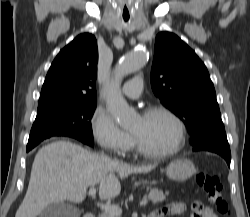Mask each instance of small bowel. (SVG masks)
Returning a JSON list of instances; mask_svg holds the SVG:
<instances>
[{"label":"small bowel","instance_id":"1","mask_svg":"<svg viewBox=\"0 0 250 217\" xmlns=\"http://www.w3.org/2000/svg\"><path fill=\"white\" fill-rule=\"evenodd\" d=\"M186 211V205L183 202H172L162 209L158 210L159 217L181 215ZM192 211L198 212V217H218L209 208L205 207L202 202H195L192 205Z\"/></svg>","mask_w":250,"mask_h":217}]
</instances>
